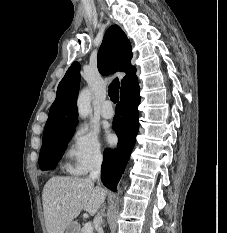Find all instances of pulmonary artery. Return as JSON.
I'll list each match as a JSON object with an SVG mask.
<instances>
[{
    "label": "pulmonary artery",
    "instance_id": "obj_1",
    "mask_svg": "<svg viewBox=\"0 0 227 233\" xmlns=\"http://www.w3.org/2000/svg\"><path fill=\"white\" fill-rule=\"evenodd\" d=\"M101 116L105 119H111L114 116V109L110 101H105L101 108Z\"/></svg>",
    "mask_w": 227,
    "mask_h": 233
}]
</instances>
